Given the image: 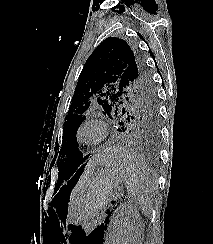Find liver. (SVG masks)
<instances>
[{"label":"liver","mask_w":213,"mask_h":244,"mask_svg":"<svg viewBox=\"0 0 213 244\" xmlns=\"http://www.w3.org/2000/svg\"><path fill=\"white\" fill-rule=\"evenodd\" d=\"M109 158V154L106 153V154H97V155H94L90 160H89V163L87 165V171L84 175V178L83 180H81L80 185H82L85 181V179L87 178L88 174L94 170V168L96 167V165L98 164H102L104 162L107 161V159Z\"/></svg>","instance_id":"1"}]
</instances>
